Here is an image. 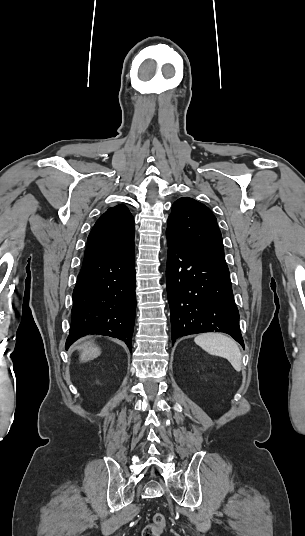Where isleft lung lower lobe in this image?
<instances>
[{
  "label": "left lung lower lobe",
  "instance_id": "obj_1",
  "mask_svg": "<svg viewBox=\"0 0 305 536\" xmlns=\"http://www.w3.org/2000/svg\"><path fill=\"white\" fill-rule=\"evenodd\" d=\"M167 295L172 341L178 337L225 332L244 348L239 312L225 259L188 251L167 238Z\"/></svg>",
  "mask_w": 305,
  "mask_h": 536
}]
</instances>
